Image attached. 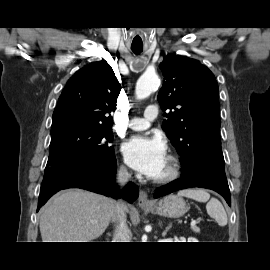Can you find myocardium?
Returning <instances> with one entry per match:
<instances>
[{"label": "myocardium", "instance_id": "obj_1", "mask_svg": "<svg viewBox=\"0 0 270 270\" xmlns=\"http://www.w3.org/2000/svg\"><path fill=\"white\" fill-rule=\"evenodd\" d=\"M167 160L169 162V168L165 175L161 177H157L153 179V182L156 184H168L174 180H176L180 175V160L175 155H169L167 157Z\"/></svg>", "mask_w": 270, "mask_h": 270}]
</instances>
